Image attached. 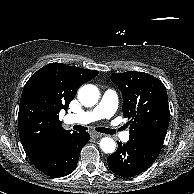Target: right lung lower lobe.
Masks as SVG:
<instances>
[{
  "label": "right lung lower lobe",
  "instance_id": "98d812e1",
  "mask_svg": "<svg viewBox=\"0 0 194 194\" xmlns=\"http://www.w3.org/2000/svg\"><path fill=\"white\" fill-rule=\"evenodd\" d=\"M89 137L87 132L60 135L29 159L45 175L64 177L76 168L81 149Z\"/></svg>",
  "mask_w": 194,
  "mask_h": 194
}]
</instances>
